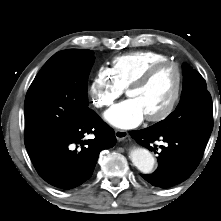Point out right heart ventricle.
<instances>
[{
	"label": "right heart ventricle",
	"mask_w": 221,
	"mask_h": 221,
	"mask_svg": "<svg viewBox=\"0 0 221 221\" xmlns=\"http://www.w3.org/2000/svg\"><path fill=\"white\" fill-rule=\"evenodd\" d=\"M165 60H169L168 56L160 52L136 51L114 57L109 71L116 82L126 89L148 67Z\"/></svg>",
	"instance_id": "1"
}]
</instances>
